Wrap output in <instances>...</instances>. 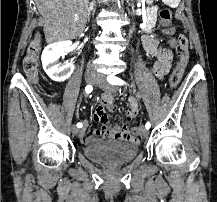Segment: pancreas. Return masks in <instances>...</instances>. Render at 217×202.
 Here are the masks:
<instances>
[{"label":"pancreas","instance_id":"pancreas-1","mask_svg":"<svg viewBox=\"0 0 217 202\" xmlns=\"http://www.w3.org/2000/svg\"><path fill=\"white\" fill-rule=\"evenodd\" d=\"M152 34H155V31H152Z\"/></svg>","mask_w":217,"mask_h":202}]
</instances>
